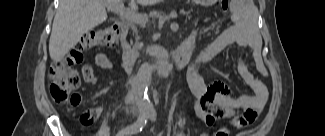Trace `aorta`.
Segmentation results:
<instances>
[{"instance_id": "762f6f07", "label": "aorta", "mask_w": 325, "mask_h": 136, "mask_svg": "<svg viewBox=\"0 0 325 136\" xmlns=\"http://www.w3.org/2000/svg\"><path fill=\"white\" fill-rule=\"evenodd\" d=\"M151 72V65L148 62H144L140 66L136 77L140 110L146 114L154 112V108L148 94L151 83Z\"/></svg>"}]
</instances>
